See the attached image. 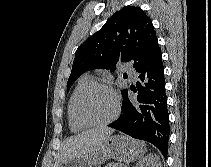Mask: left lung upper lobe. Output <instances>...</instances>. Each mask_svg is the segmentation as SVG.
<instances>
[{"label":"left lung upper lobe","instance_id":"1","mask_svg":"<svg viewBox=\"0 0 211 167\" xmlns=\"http://www.w3.org/2000/svg\"><path fill=\"white\" fill-rule=\"evenodd\" d=\"M158 46L151 19L141 8L125 6L79 47L67 91L87 70L106 68L114 71L118 62H131L137 69Z\"/></svg>","mask_w":211,"mask_h":167}]
</instances>
